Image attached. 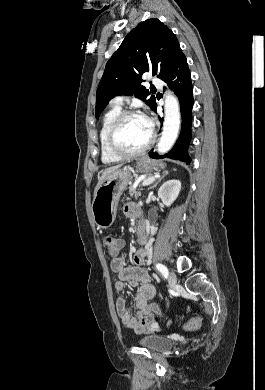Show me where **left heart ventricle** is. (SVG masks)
Masks as SVG:
<instances>
[{
	"label": "left heart ventricle",
	"mask_w": 265,
	"mask_h": 390,
	"mask_svg": "<svg viewBox=\"0 0 265 390\" xmlns=\"http://www.w3.org/2000/svg\"><path fill=\"white\" fill-rule=\"evenodd\" d=\"M150 136V131L145 126L141 117L127 118L121 125L117 139L119 145L128 151H135L145 145Z\"/></svg>",
	"instance_id": "1"
}]
</instances>
